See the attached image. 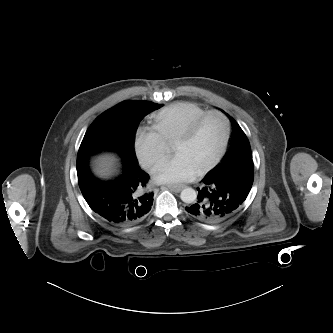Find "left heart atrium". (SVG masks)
Returning a JSON list of instances; mask_svg holds the SVG:
<instances>
[{
	"label": "left heart atrium",
	"instance_id": "left-heart-atrium-1",
	"mask_svg": "<svg viewBox=\"0 0 333 333\" xmlns=\"http://www.w3.org/2000/svg\"><path fill=\"white\" fill-rule=\"evenodd\" d=\"M197 170L181 154H175L163 162L156 171V179L162 183L178 184L195 178Z\"/></svg>",
	"mask_w": 333,
	"mask_h": 333
}]
</instances>
